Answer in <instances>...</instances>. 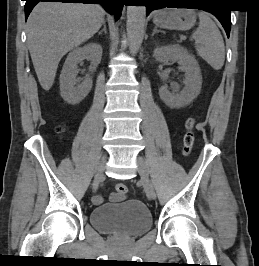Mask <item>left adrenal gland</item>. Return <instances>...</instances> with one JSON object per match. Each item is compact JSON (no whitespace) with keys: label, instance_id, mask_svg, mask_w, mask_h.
I'll return each instance as SVG.
<instances>
[{"label":"left adrenal gland","instance_id":"1","mask_svg":"<svg viewBox=\"0 0 259 266\" xmlns=\"http://www.w3.org/2000/svg\"><path fill=\"white\" fill-rule=\"evenodd\" d=\"M159 32H163V31H160L157 29V27H154V30H153V33L152 35L156 34V33H159ZM164 33V32H163Z\"/></svg>","mask_w":259,"mask_h":266}]
</instances>
